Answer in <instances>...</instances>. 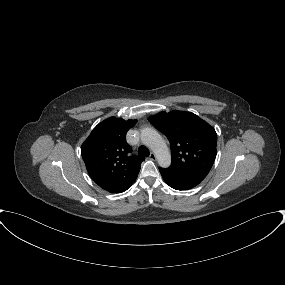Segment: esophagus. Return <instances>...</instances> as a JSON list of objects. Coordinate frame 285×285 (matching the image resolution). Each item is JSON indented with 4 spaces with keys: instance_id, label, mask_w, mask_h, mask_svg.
I'll list each match as a JSON object with an SVG mask.
<instances>
[{
    "instance_id": "34e87169",
    "label": "esophagus",
    "mask_w": 285,
    "mask_h": 285,
    "mask_svg": "<svg viewBox=\"0 0 285 285\" xmlns=\"http://www.w3.org/2000/svg\"><path fill=\"white\" fill-rule=\"evenodd\" d=\"M149 158H150L151 160H156V155H155L154 153H151L150 156H149Z\"/></svg>"
}]
</instances>
